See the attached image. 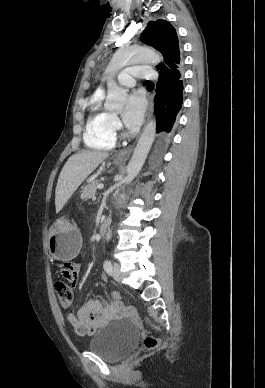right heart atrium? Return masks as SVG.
Here are the masks:
<instances>
[{"label":"right heart atrium","mask_w":265,"mask_h":388,"mask_svg":"<svg viewBox=\"0 0 265 388\" xmlns=\"http://www.w3.org/2000/svg\"><path fill=\"white\" fill-rule=\"evenodd\" d=\"M110 127L111 129L116 132L118 130L121 129V124H120V121L118 120V118L116 116H111V119H110Z\"/></svg>","instance_id":"1"}]
</instances>
